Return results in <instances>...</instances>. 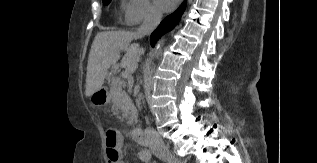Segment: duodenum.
<instances>
[{"instance_id":"410a0bca","label":"duodenum","mask_w":317,"mask_h":163,"mask_svg":"<svg viewBox=\"0 0 317 163\" xmlns=\"http://www.w3.org/2000/svg\"><path fill=\"white\" fill-rule=\"evenodd\" d=\"M131 136L138 144H140L142 146H146L147 145L145 134H144L142 129L133 128Z\"/></svg>"}]
</instances>
